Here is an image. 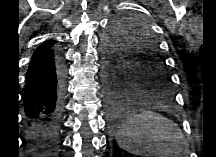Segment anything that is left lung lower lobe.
Segmentation results:
<instances>
[{
  "mask_svg": "<svg viewBox=\"0 0 216 157\" xmlns=\"http://www.w3.org/2000/svg\"><path fill=\"white\" fill-rule=\"evenodd\" d=\"M110 94L108 95V109L111 119L117 123L125 119L123 107L128 99L133 97L130 85L124 79L122 74L119 79L110 84Z\"/></svg>",
  "mask_w": 216,
  "mask_h": 157,
  "instance_id": "1",
  "label": "left lung lower lobe"
}]
</instances>
